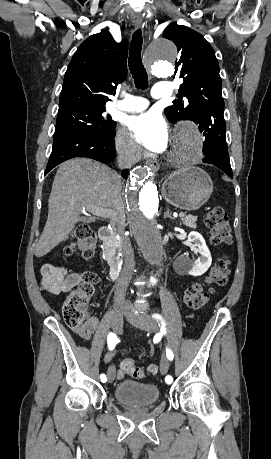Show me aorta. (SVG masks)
<instances>
[{"instance_id":"762f6f07","label":"aorta","mask_w":271,"mask_h":459,"mask_svg":"<svg viewBox=\"0 0 271 459\" xmlns=\"http://www.w3.org/2000/svg\"><path fill=\"white\" fill-rule=\"evenodd\" d=\"M175 45L159 39L147 51V62L155 76L168 77L173 73L171 61L176 57ZM202 140L191 125H183L176 133L174 148L169 155V164L177 169H186L202 158ZM147 166H138L130 174L127 183L126 203L129 225L145 258L153 265L163 261L162 236L157 223L159 198L156 184L150 178ZM150 283H156L151 277Z\"/></svg>"}]
</instances>
